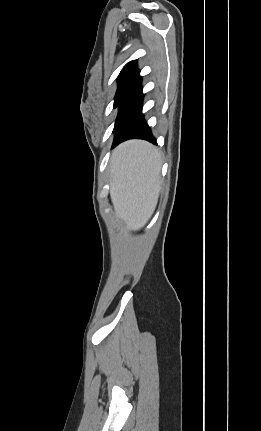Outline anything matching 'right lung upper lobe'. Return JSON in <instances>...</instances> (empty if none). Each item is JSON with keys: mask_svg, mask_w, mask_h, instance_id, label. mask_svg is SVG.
<instances>
[{"mask_svg": "<svg viewBox=\"0 0 261 431\" xmlns=\"http://www.w3.org/2000/svg\"><path fill=\"white\" fill-rule=\"evenodd\" d=\"M136 66H137L136 61L129 62L121 70L118 78L123 77V76L128 75V74L139 73V70L136 68Z\"/></svg>", "mask_w": 261, "mask_h": 431, "instance_id": "obj_1", "label": "right lung upper lobe"}]
</instances>
